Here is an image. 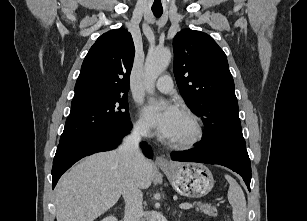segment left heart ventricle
Segmentation results:
<instances>
[{
    "instance_id": "left-heart-ventricle-1",
    "label": "left heart ventricle",
    "mask_w": 307,
    "mask_h": 221,
    "mask_svg": "<svg viewBox=\"0 0 307 221\" xmlns=\"http://www.w3.org/2000/svg\"><path fill=\"white\" fill-rule=\"evenodd\" d=\"M194 128L191 120L185 115H182L180 122L177 126L175 134L170 139L172 141H179L185 138H188L193 134Z\"/></svg>"
}]
</instances>
